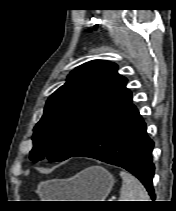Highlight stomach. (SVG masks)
Masks as SVG:
<instances>
[{
    "mask_svg": "<svg viewBox=\"0 0 176 211\" xmlns=\"http://www.w3.org/2000/svg\"><path fill=\"white\" fill-rule=\"evenodd\" d=\"M113 175L105 168L92 166L69 180H50L41 191L54 201H105L114 185Z\"/></svg>",
    "mask_w": 176,
    "mask_h": 211,
    "instance_id": "obj_1",
    "label": "stomach"
}]
</instances>
